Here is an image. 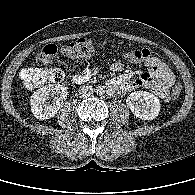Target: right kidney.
Wrapping results in <instances>:
<instances>
[{
    "label": "right kidney",
    "instance_id": "ca27d5eb",
    "mask_svg": "<svg viewBox=\"0 0 195 195\" xmlns=\"http://www.w3.org/2000/svg\"><path fill=\"white\" fill-rule=\"evenodd\" d=\"M67 88L60 84H49L35 91L30 98L33 115L40 120L54 117L63 101L67 99ZM53 97L52 103L48 100Z\"/></svg>",
    "mask_w": 195,
    "mask_h": 195
}]
</instances>
